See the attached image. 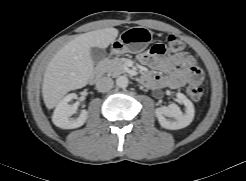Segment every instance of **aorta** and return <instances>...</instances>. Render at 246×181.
Wrapping results in <instances>:
<instances>
[{
  "label": "aorta",
  "instance_id": "aorta-1",
  "mask_svg": "<svg viewBox=\"0 0 246 181\" xmlns=\"http://www.w3.org/2000/svg\"><path fill=\"white\" fill-rule=\"evenodd\" d=\"M128 84H129V80H128V78L125 75L117 77L116 85L118 87L126 88L128 86Z\"/></svg>",
  "mask_w": 246,
  "mask_h": 181
}]
</instances>
